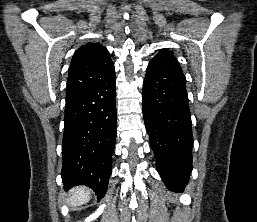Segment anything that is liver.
I'll return each instance as SVG.
<instances>
[{"label":"liver","instance_id":"liver-1","mask_svg":"<svg viewBox=\"0 0 257 222\" xmlns=\"http://www.w3.org/2000/svg\"><path fill=\"white\" fill-rule=\"evenodd\" d=\"M90 194L89 188L84 186L76 187L69 192L70 198L68 203L72 207L83 205L90 200Z\"/></svg>","mask_w":257,"mask_h":222}]
</instances>
